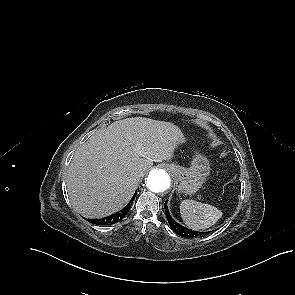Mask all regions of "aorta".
Instances as JSON below:
<instances>
[{
	"label": "aorta",
	"mask_w": 295,
	"mask_h": 295,
	"mask_svg": "<svg viewBox=\"0 0 295 295\" xmlns=\"http://www.w3.org/2000/svg\"><path fill=\"white\" fill-rule=\"evenodd\" d=\"M170 183V176L164 169L151 170L146 179L147 188L155 193L164 192L170 187Z\"/></svg>",
	"instance_id": "obj_1"
}]
</instances>
